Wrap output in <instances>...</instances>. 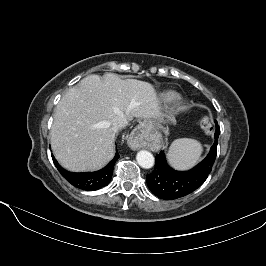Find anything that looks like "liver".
Wrapping results in <instances>:
<instances>
[{"label":"liver","mask_w":266,"mask_h":266,"mask_svg":"<svg viewBox=\"0 0 266 266\" xmlns=\"http://www.w3.org/2000/svg\"><path fill=\"white\" fill-rule=\"evenodd\" d=\"M123 116L161 120L154 87L136 79L122 80L114 73L92 74L70 88L59 101L51 128V147L66 169L92 171L114 156L112 120Z\"/></svg>","instance_id":"6515ba94"}]
</instances>
